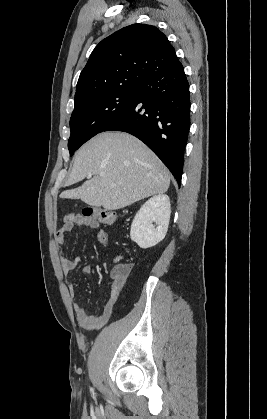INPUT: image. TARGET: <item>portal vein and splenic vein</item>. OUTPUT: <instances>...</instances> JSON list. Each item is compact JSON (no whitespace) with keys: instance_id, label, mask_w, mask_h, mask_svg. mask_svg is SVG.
Listing matches in <instances>:
<instances>
[{"instance_id":"obj_1","label":"portal vein and splenic vein","mask_w":267,"mask_h":419,"mask_svg":"<svg viewBox=\"0 0 267 419\" xmlns=\"http://www.w3.org/2000/svg\"><path fill=\"white\" fill-rule=\"evenodd\" d=\"M100 176H104V174H100ZM91 177H92V175H88V177H87V178L89 179V178H91ZM115 185H116V184H113V186H115Z\"/></svg>"}]
</instances>
